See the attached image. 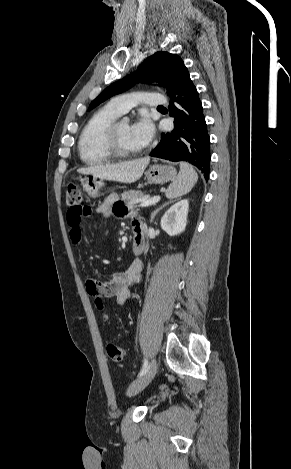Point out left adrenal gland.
Segmentation results:
<instances>
[{
    "label": "left adrenal gland",
    "mask_w": 291,
    "mask_h": 469,
    "mask_svg": "<svg viewBox=\"0 0 291 469\" xmlns=\"http://www.w3.org/2000/svg\"><path fill=\"white\" fill-rule=\"evenodd\" d=\"M173 201H169V202H165L163 205H161L159 208H157L156 210H154L151 214V219H150V222H153L154 220V217L155 215L163 208L165 207L166 205L172 203Z\"/></svg>",
    "instance_id": "obj_1"
}]
</instances>
